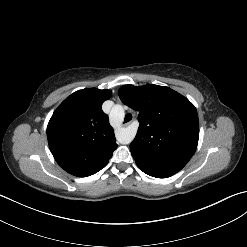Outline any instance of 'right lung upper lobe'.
I'll return each instance as SVG.
<instances>
[{
  "mask_svg": "<svg viewBox=\"0 0 247 247\" xmlns=\"http://www.w3.org/2000/svg\"><path fill=\"white\" fill-rule=\"evenodd\" d=\"M111 96L110 90H79L53 113L47 126L48 144L66 172L87 177L101 170L112 157L118 145L101 108Z\"/></svg>",
  "mask_w": 247,
  "mask_h": 247,
  "instance_id": "right-lung-upper-lobe-1",
  "label": "right lung upper lobe"
}]
</instances>
